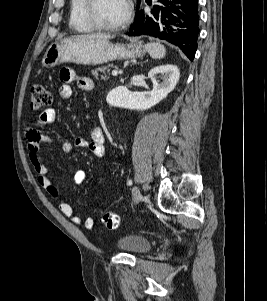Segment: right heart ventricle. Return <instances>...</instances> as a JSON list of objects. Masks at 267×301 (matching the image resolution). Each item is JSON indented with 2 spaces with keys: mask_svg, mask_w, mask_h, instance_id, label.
Here are the masks:
<instances>
[{
  "mask_svg": "<svg viewBox=\"0 0 267 301\" xmlns=\"http://www.w3.org/2000/svg\"><path fill=\"white\" fill-rule=\"evenodd\" d=\"M85 4L86 0H70L69 25L78 33H90L96 30L86 18Z\"/></svg>",
  "mask_w": 267,
  "mask_h": 301,
  "instance_id": "obj_1",
  "label": "right heart ventricle"
}]
</instances>
